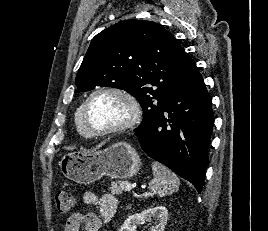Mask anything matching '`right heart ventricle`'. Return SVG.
Wrapping results in <instances>:
<instances>
[{
	"label": "right heart ventricle",
	"instance_id": "right-heart-ventricle-1",
	"mask_svg": "<svg viewBox=\"0 0 268 231\" xmlns=\"http://www.w3.org/2000/svg\"><path fill=\"white\" fill-rule=\"evenodd\" d=\"M74 121L77 131L83 136H87L86 129L82 121L81 106L75 112Z\"/></svg>",
	"mask_w": 268,
	"mask_h": 231
}]
</instances>
